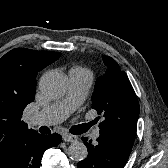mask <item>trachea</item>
Instances as JSON below:
<instances>
[{
    "instance_id": "obj_1",
    "label": "trachea",
    "mask_w": 168,
    "mask_h": 168,
    "mask_svg": "<svg viewBox=\"0 0 168 168\" xmlns=\"http://www.w3.org/2000/svg\"><path fill=\"white\" fill-rule=\"evenodd\" d=\"M78 130H79V127H72L70 132L73 134H78ZM42 133H46V132H42Z\"/></svg>"
}]
</instances>
